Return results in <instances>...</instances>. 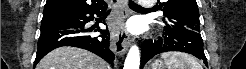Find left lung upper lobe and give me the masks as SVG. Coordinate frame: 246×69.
Listing matches in <instances>:
<instances>
[{"instance_id":"left-lung-upper-lobe-1","label":"left lung upper lobe","mask_w":246,"mask_h":69,"mask_svg":"<svg viewBox=\"0 0 246 69\" xmlns=\"http://www.w3.org/2000/svg\"><path fill=\"white\" fill-rule=\"evenodd\" d=\"M158 9L163 11L166 29L200 32L198 5L196 0H166Z\"/></svg>"}]
</instances>
